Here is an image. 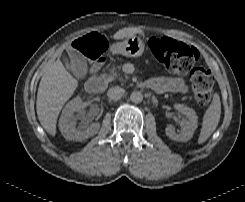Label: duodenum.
I'll return each mask as SVG.
<instances>
[{
    "instance_id": "obj_1",
    "label": "duodenum",
    "mask_w": 245,
    "mask_h": 202,
    "mask_svg": "<svg viewBox=\"0 0 245 202\" xmlns=\"http://www.w3.org/2000/svg\"><path fill=\"white\" fill-rule=\"evenodd\" d=\"M106 80L103 75L93 77L89 79L86 83V91L93 95H99L105 88Z\"/></svg>"
}]
</instances>
